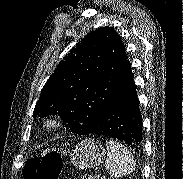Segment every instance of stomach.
Here are the masks:
<instances>
[{
	"mask_svg": "<svg viewBox=\"0 0 183 179\" xmlns=\"http://www.w3.org/2000/svg\"><path fill=\"white\" fill-rule=\"evenodd\" d=\"M104 159V146L94 139L82 141L71 153V162L79 169L96 167L103 163Z\"/></svg>",
	"mask_w": 183,
	"mask_h": 179,
	"instance_id": "0dacf381",
	"label": "stomach"
}]
</instances>
